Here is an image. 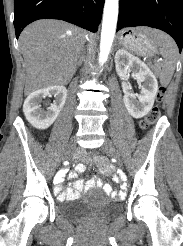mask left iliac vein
<instances>
[{"label": "left iliac vein", "mask_w": 183, "mask_h": 246, "mask_svg": "<svg viewBox=\"0 0 183 246\" xmlns=\"http://www.w3.org/2000/svg\"><path fill=\"white\" fill-rule=\"evenodd\" d=\"M103 149L108 155L115 158L119 165H121L120 153L109 139H105Z\"/></svg>", "instance_id": "left-iliac-vein-1"}]
</instances>
